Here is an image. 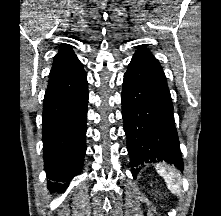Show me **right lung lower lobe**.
Segmentation results:
<instances>
[{"instance_id": "obj_1", "label": "right lung lower lobe", "mask_w": 221, "mask_h": 216, "mask_svg": "<svg viewBox=\"0 0 221 216\" xmlns=\"http://www.w3.org/2000/svg\"><path fill=\"white\" fill-rule=\"evenodd\" d=\"M88 82L84 70L48 85L42 141L49 190L65 191L78 175L86 152Z\"/></svg>"}]
</instances>
